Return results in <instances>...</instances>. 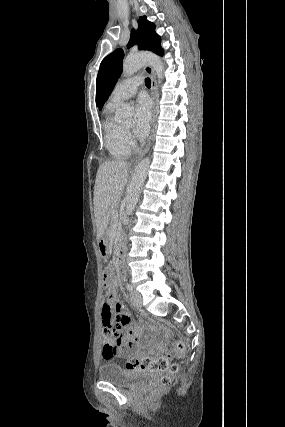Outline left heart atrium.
Instances as JSON below:
<instances>
[{
    "label": "left heart atrium",
    "mask_w": 285,
    "mask_h": 427,
    "mask_svg": "<svg viewBox=\"0 0 285 427\" xmlns=\"http://www.w3.org/2000/svg\"><path fill=\"white\" fill-rule=\"evenodd\" d=\"M151 123V107L147 99L139 98L135 105L134 130L138 137L147 135Z\"/></svg>",
    "instance_id": "left-heart-atrium-1"
}]
</instances>
